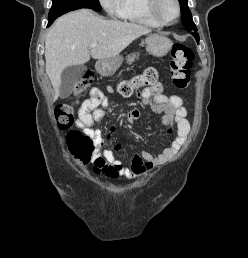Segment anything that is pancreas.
Masks as SVG:
<instances>
[{
  "label": "pancreas",
  "instance_id": "1",
  "mask_svg": "<svg viewBox=\"0 0 248 258\" xmlns=\"http://www.w3.org/2000/svg\"><path fill=\"white\" fill-rule=\"evenodd\" d=\"M138 57H139L138 53H132V54L128 55L126 57L127 63L132 64L135 61V59H138Z\"/></svg>",
  "mask_w": 248,
  "mask_h": 258
}]
</instances>
